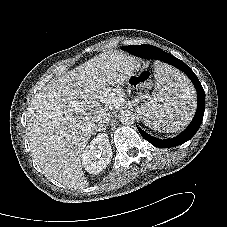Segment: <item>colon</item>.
I'll use <instances>...</instances> for the list:
<instances>
[{
    "instance_id": "colon-1",
    "label": "colon",
    "mask_w": 227,
    "mask_h": 227,
    "mask_svg": "<svg viewBox=\"0 0 227 227\" xmlns=\"http://www.w3.org/2000/svg\"><path fill=\"white\" fill-rule=\"evenodd\" d=\"M149 79L150 74L148 72H142L132 77V83L134 85H144L149 82Z\"/></svg>"
}]
</instances>
